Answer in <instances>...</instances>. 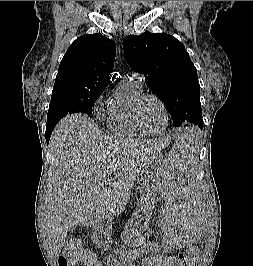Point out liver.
I'll return each instance as SVG.
<instances>
[{"label":"liver","mask_w":253,"mask_h":266,"mask_svg":"<svg viewBox=\"0 0 253 266\" xmlns=\"http://www.w3.org/2000/svg\"><path fill=\"white\" fill-rule=\"evenodd\" d=\"M168 144L165 139L107 135L81 113L63 118L50 139L55 170L45 200V228L53 254L59 255L67 234L78 225L98 227L120 215L147 160Z\"/></svg>","instance_id":"obj_1"}]
</instances>
